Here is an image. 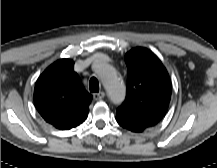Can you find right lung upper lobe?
<instances>
[{
    "instance_id": "1",
    "label": "right lung upper lobe",
    "mask_w": 217,
    "mask_h": 168,
    "mask_svg": "<svg viewBox=\"0 0 217 168\" xmlns=\"http://www.w3.org/2000/svg\"><path fill=\"white\" fill-rule=\"evenodd\" d=\"M71 59H59L38 78L34 103L43 119L60 130H69L86 119L92 100Z\"/></svg>"
}]
</instances>
